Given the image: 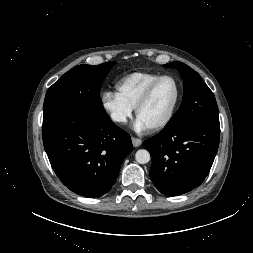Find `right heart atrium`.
I'll use <instances>...</instances> for the list:
<instances>
[{"instance_id":"d8ad5b80","label":"right heart atrium","mask_w":253,"mask_h":253,"mask_svg":"<svg viewBox=\"0 0 253 253\" xmlns=\"http://www.w3.org/2000/svg\"><path fill=\"white\" fill-rule=\"evenodd\" d=\"M101 104L109 114L111 120L122 125L127 122L132 114V108L125 104L115 92L107 91L102 94Z\"/></svg>"}]
</instances>
